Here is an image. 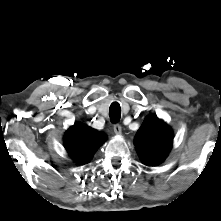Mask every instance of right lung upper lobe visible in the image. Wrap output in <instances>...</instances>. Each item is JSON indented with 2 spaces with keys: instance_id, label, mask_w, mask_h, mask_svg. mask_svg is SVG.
I'll return each instance as SVG.
<instances>
[{
  "instance_id": "cb5924a9",
  "label": "right lung upper lobe",
  "mask_w": 221,
  "mask_h": 221,
  "mask_svg": "<svg viewBox=\"0 0 221 221\" xmlns=\"http://www.w3.org/2000/svg\"><path fill=\"white\" fill-rule=\"evenodd\" d=\"M105 140L104 134L80 123H75L70 127L64 136L68 154L79 164L89 162Z\"/></svg>"
}]
</instances>
